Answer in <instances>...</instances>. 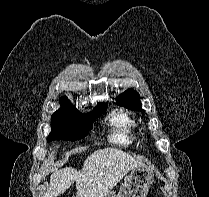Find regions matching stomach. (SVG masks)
Listing matches in <instances>:
<instances>
[{"label": "stomach", "mask_w": 209, "mask_h": 197, "mask_svg": "<svg viewBox=\"0 0 209 197\" xmlns=\"http://www.w3.org/2000/svg\"><path fill=\"white\" fill-rule=\"evenodd\" d=\"M153 181L152 170L141 165L131 170L118 193L110 191L104 197H146Z\"/></svg>", "instance_id": "0dacf381"}]
</instances>
